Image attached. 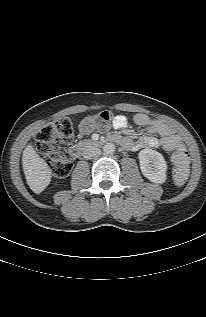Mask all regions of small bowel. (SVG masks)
Listing matches in <instances>:
<instances>
[{"mask_svg": "<svg viewBox=\"0 0 206 317\" xmlns=\"http://www.w3.org/2000/svg\"><path fill=\"white\" fill-rule=\"evenodd\" d=\"M132 119L135 124L144 127L146 131L137 143H133V141L127 137L123 138L122 145L127 149L135 151L141 148H157L161 144L157 136L162 137L163 142L167 137L175 135L166 124L152 119L147 114L137 113ZM112 124L114 129L120 130L127 126L128 119L124 115H117L114 117Z\"/></svg>", "mask_w": 206, "mask_h": 317, "instance_id": "obj_1", "label": "small bowel"}]
</instances>
